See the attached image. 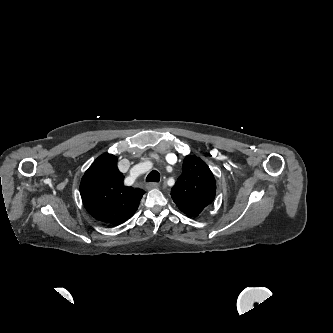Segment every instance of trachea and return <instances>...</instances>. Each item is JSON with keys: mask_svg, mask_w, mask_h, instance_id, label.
Wrapping results in <instances>:
<instances>
[{"mask_svg": "<svg viewBox=\"0 0 333 333\" xmlns=\"http://www.w3.org/2000/svg\"><path fill=\"white\" fill-rule=\"evenodd\" d=\"M159 180H160V175L155 170L151 171L146 178L147 182H159Z\"/></svg>", "mask_w": 333, "mask_h": 333, "instance_id": "1", "label": "trachea"}]
</instances>
